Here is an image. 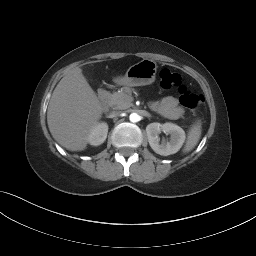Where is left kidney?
<instances>
[{
  "label": "left kidney",
  "instance_id": "obj_1",
  "mask_svg": "<svg viewBox=\"0 0 256 256\" xmlns=\"http://www.w3.org/2000/svg\"><path fill=\"white\" fill-rule=\"evenodd\" d=\"M161 131L171 135L168 142L163 141L160 143L158 135ZM146 133L153 151L163 156L178 152L186 138L184 130L173 123H150L146 127Z\"/></svg>",
  "mask_w": 256,
  "mask_h": 256
}]
</instances>
